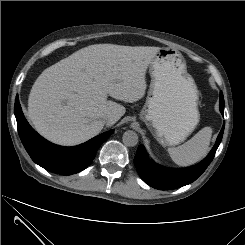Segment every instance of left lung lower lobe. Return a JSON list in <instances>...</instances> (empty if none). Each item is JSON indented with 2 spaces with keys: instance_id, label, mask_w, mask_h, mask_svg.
<instances>
[{
  "instance_id": "0a47b994",
  "label": "left lung lower lobe",
  "mask_w": 245,
  "mask_h": 245,
  "mask_svg": "<svg viewBox=\"0 0 245 245\" xmlns=\"http://www.w3.org/2000/svg\"><path fill=\"white\" fill-rule=\"evenodd\" d=\"M220 111L222 114L224 113L222 92H220ZM224 126L225 124H223L216 143L207 157L200 163L188 168L172 169L156 164L153 160L149 159L143 146L138 147L134 162L139 176L148 185L159 190H172L192 183L205 171L213 160L222 140Z\"/></svg>"
}]
</instances>
